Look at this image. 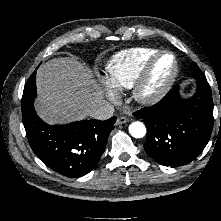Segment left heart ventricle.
Instances as JSON below:
<instances>
[{"mask_svg": "<svg viewBox=\"0 0 221 221\" xmlns=\"http://www.w3.org/2000/svg\"><path fill=\"white\" fill-rule=\"evenodd\" d=\"M173 70V59L171 56H163L156 64L148 88L155 89L163 84Z\"/></svg>", "mask_w": 221, "mask_h": 221, "instance_id": "left-heart-ventricle-1", "label": "left heart ventricle"}]
</instances>
